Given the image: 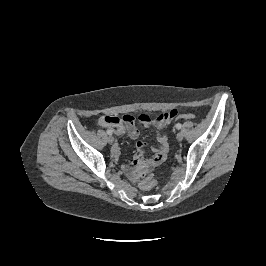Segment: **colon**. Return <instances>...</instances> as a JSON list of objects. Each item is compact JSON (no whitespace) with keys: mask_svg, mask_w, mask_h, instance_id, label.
Returning a JSON list of instances; mask_svg holds the SVG:
<instances>
[{"mask_svg":"<svg viewBox=\"0 0 266 266\" xmlns=\"http://www.w3.org/2000/svg\"><path fill=\"white\" fill-rule=\"evenodd\" d=\"M179 118L184 120H193L195 118V115L192 113H183L179 115ZM157 185V180L154 178L153 175H148L144 177L140 182V187L143 190H151Z\"/></svg>","mask_w":266,"mask_h":266,"instance_id":"5ec220e1","label":"colon"}]
</instances>
